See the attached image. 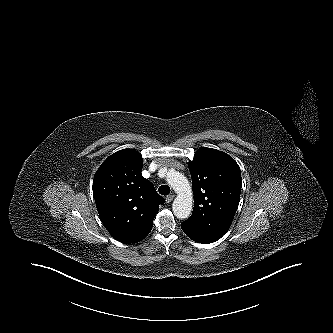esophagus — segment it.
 <instances>
[{"mask_svg":"<svg viewBox=\"0 0 333 333\" xmlns=\"http://www.w3.org/2000/svg\"><path fill=\"white\" fill-rule=\"evenodd\" d=\"M175 195L174 194H170L165 198L166 203H170L172 202V200L174 199Z\"/></svg>","mask_w":333,"mask_h":333,"instance_id":"1","label":"esophagus"}]
</instances>
